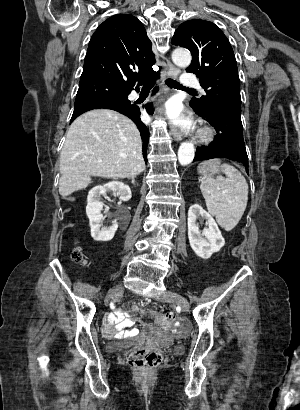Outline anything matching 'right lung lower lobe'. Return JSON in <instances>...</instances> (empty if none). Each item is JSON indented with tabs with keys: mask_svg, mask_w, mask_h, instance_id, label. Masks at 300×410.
<instances>
[{
	"mask_svg": "<svg viewBox=\"0 0 300 410\" xmlns=\"http://www.w3.org/2000/svg\"><path fill=\"white\" fill-rule=\"evenodd\" d=\"M146 107H147L148 114H153L152 103L146 104ZM97 108H106V109H112V110L118 111L124 114L125 116L129 117L136 124L137 128L140 131L141 138L143 141V156H144L145 161H147L146 154H147V145H148V139H149V130L147 126L141 121L139 107L131 104L130 102L120 103V102H115V101H110V100L90 101V102L75 106L74 112L71 118V122L75 118H77L79 115H81L82 113L92 110V109H97Z\"/></svg>",
	"mask_w": 300,
	"mask_h": 410,
	"instance_id": "right-lung-lower-lobe-1",
	"label": "right lung lower lobe"
}]
</instances>
